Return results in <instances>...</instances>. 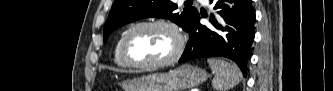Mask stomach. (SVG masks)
<instances>
[{
  "mask_svg": "<svg viewBox=\"0 0 333 91\" xmlns=\"http://www.w3.org/2000/svg\"><path fill=\"white\" fill-rule=\"evenodd\" d=\"M205 70L184 64L168 73H154L124 81L125 91H183L207 79Z\"/></svg>",
  "mask_w": 333,
  "mask_h": 91,
  "instance_id": "stomach-1",
  "label": "stomach"
}]
</instances>
